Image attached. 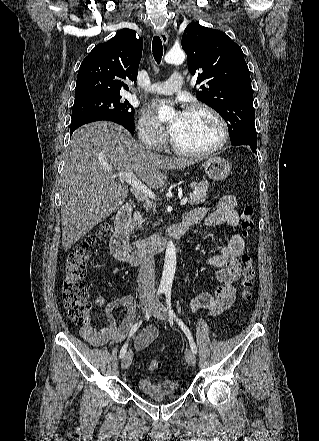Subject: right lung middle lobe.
<instances>
[{
	"label": "right lung middle lobe",
	"instance_id": "dd1d6c3e",
	"mask_svg": "<svg viewBox=\"0 0 319 441\" xmlns=\"http://www.w3.org/2000/svg\"><path fill=\"white\" fill-rule=\"evenodd\" d=\"M132 105L121 102V96H95L76 99L72 108L71 126L84 121L108 118L117 121L128 131H134Z\"/></svg>",
	"mask_w": 319,
	"mask_h": 441
}]
</instances>
